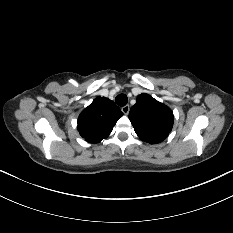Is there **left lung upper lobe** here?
<instances>
[{
	"mask_svg": "<svg viewBox=\"0 0 233 233\" xmlns=\"http://www.w3.org/2000/svg\"><path fill=\"white\" fill-rule=\"evenodd\" d=\"M129 119L141 140L150 144L167 138L173 126V113L166 105L142 93L132 106Z\"/></svg>",
	"mask_w": 233,
	"mask_h": 233,
	"instance_id": "1",
	"label": "left lung upper lobe"
}]
</instances>
